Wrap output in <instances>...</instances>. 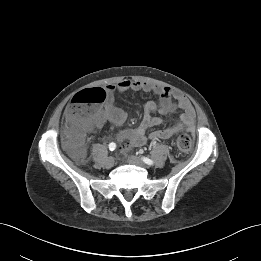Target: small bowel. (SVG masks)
Wrapping results in <instances>:
<instances>
[{
	"mask_svg": "<svg viewBox=\"0 0 261 261\" xmlns=\"http://www.w3.org/2000/svg\"><path fill=\"white\" fill-rule=\"evenodd\" d=\"M136 91L153 93L158 96L157 101H148L144 107V115L138 127L134 129L121 130L116 134L118 140H127L132 146L141 147L147 139L163 140L169 139L180 132L195 131L194 111L190 101L176 90L152 84L145 81L124 79L116 84L106 87L107 96L100 108H97L91 115L87 131H95L106 123L114 126H121L127 115L115 104V93ZM181 110L177 122L172 125L152 131L148 136L147 130L163 125L165 120L156 116V113L167 115Z\"/></svg>",
	"mask_w": 261,
	"mask_h": 261,
	"instance_id": "obj_1",
	"label": "small bowel"
}]
</instances>
